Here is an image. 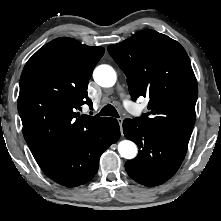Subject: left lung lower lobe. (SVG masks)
<instances>
[{
    "label": "left lung lower lobe",
    "mask_w": 221,
    "mask_h": 221,
    "mask_svg": "<svg viewBox=\"0 0 221 221\" xmlns=\"http://www.w3.org/2000/svg\"><path fill=\"white\" fill-rule=\"evenodd\" d=\"M123 132L139 148L137 157L125 163L126 171L133 180L145 186H157L176 173L188 143L162 136L136 119H125Z\"/></svg>",
    "instance_id": "1"
}]
</instances>
